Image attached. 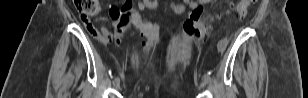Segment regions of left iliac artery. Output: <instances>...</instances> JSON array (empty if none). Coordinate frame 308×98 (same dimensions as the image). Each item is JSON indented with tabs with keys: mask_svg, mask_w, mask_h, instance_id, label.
I'll list each match as a JSON object with an SVG mask.
<instances>
[{
	"mask_svg": "<svg viewBox=\"0 0 308 98\" xmlns=\"http://www.w3.org/2000/svg\"><path fill=\"white\" fill-rule=\"evenodd\" d=\"M205 79L207 80L208 83L211 82V77L207 74V75H204Z\"/></svg>",
	"mask_w": 308,
	"mask_h": 98,
	"instance_id": "44dca946",
	"label": "left iliac artery"
}]
</instances>
